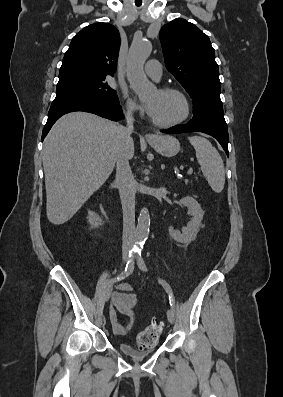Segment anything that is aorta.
Wrapping results in <instances>:
<instances>
[{"label":"aorta","mask_w":283,"mask_h":397,"mask_svg":"<svg viewBox=\"0 0 283 397\" xmlns=\"http://www.w3.org/2000/svg\"><path fill=\"white\" fill-rule=\"evenodd\" d=\"M152 46L148 41L134 42L129 50L127 62V78L130 87L140 99L147 97L155 90V86L148 81L144 73V63L149 57ZM150 214L147 207H143L138 217L135 231L134 248L140 249L149 235Z\"/></svg>","instance_id":"obj_1"}]
</instances>
